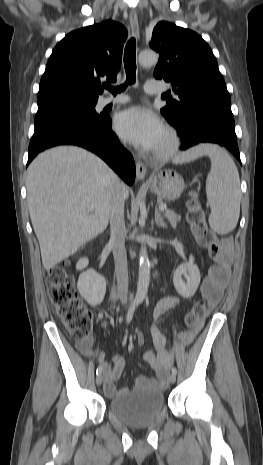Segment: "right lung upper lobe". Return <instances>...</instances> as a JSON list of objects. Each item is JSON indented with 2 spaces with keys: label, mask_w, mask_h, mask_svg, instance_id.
I'll return each mask as SVG.
<instances>
[{
  "label": "right lung upper lobe",
  "mask_w": 263,
  "mask_h": 465,
  "mask_svg": "<svg viewBox=\"0 0 263 465\" xmlns=\"http://www.w3.org/2000/svg\"><path fill=\"white\" fill-rule=\"evenodd\" d=\"M126 38V28L112 20L66 35L48 60L37 102L60 96L97 99L102 81H116Z\"/></svg>",
  "instance_id": "right-lung-upper-lobe-1"
}]
</instances>
